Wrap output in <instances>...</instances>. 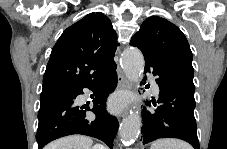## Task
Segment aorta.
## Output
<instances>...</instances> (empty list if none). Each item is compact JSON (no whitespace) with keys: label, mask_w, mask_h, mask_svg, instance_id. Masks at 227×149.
<instances>
[{"label":"aorta","mask_w":227,"mask_h":149,"mask_svg":"<svg viewBox=\"0 0 227 149\" xmlns=\"http://www.w3.org/2000/svg\"><path fill=\"white\" fill-rule=\"evenodd\" d=\"M122 66L126 77L133 83L141 80L144 71V57L140 50L136 48L126 49L121 58ZM141 118L137 111H130L129 115L123 119L120 126V137L122 142L130 145L139 136Z\"/></svg>","instance_id":"762f6f07"}]
</instances>
